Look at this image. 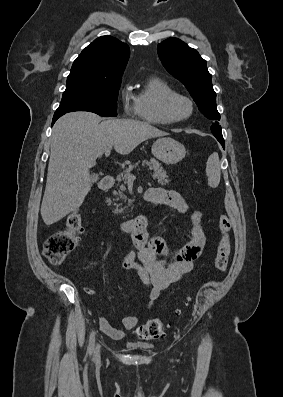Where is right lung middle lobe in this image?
I'll return each mask as SVG.
<instances>
[{
  "label": "right lung middle lobe",
  "mask_w": 283,
  "mask_h": 397,
  "mask_svg": "<svg viewBox=\"0 0 283 397\" xmlns=\"http://www.w3.org/2000/svg\"><path fill=\"white\" fill-rule=\"evenodd\" d=\"M121 80L69 74L66 90L55 113L90 111L104 117H115Z\"/></svg>",
  "instance_id": "obj_1"
}]
</instances>
